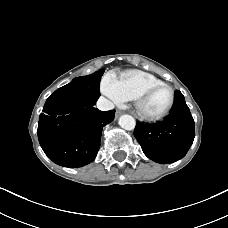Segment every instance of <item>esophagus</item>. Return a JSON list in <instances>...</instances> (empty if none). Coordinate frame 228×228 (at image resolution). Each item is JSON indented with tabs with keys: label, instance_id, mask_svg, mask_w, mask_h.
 <instances>
[{
	"label": "esophagus",
	"instance_id": "1",
	"mask_svg": "<svg viewBox=\"0 0 228 228\" xmlns=\"http://www.w3.org/2000/svg\"><path fill=\"white\" fill-rule=\"evenodd\" d=\"M121 114H122V112L120 110H117L116 114H115L116 118H118Z\"/></svg>",
	"mask_w": 228,
	"mask_h": 228
}]
</instances>
